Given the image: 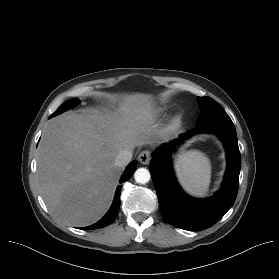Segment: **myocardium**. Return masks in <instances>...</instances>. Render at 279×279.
Instances as JSON below:
<instances>
[{
  "label": "myocardium",
  "instance_id": "f54148a6",
  "mask_svg": "<svg viewBox=\"0 0 279 279\" xmlns=\"http://www.w3.org/2000/svg\"><path fill=\"white\" fill-rule=\"evenodd\" d=\"M177 123H178V119L175 118V119L173 120V124H177Z\"/></svg>",
  "mask_w": 279,
  "mask_h": 279
}]
</instances>
